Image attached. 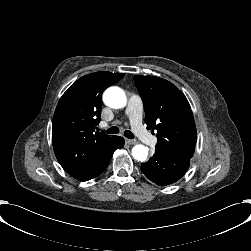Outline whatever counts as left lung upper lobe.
<instances>
[{
	"label": "left lung upper lobe",
	"mask_w": 251,
	"mask_h": 251,
	"mask_svg": "<svg viewBox=\"0 0 251 251\" xmlns=\"http://www.w3.org/2000/svg\"><path fill=\"white\" fill-rule=\"evenodd\" d=\"M144 103L147 128L157 130L156 150L191 159L197 141L189 102L171 82L156 76H134Z\"/></svg>",
	"instance_id": "obj_1"
}]
</instances>
